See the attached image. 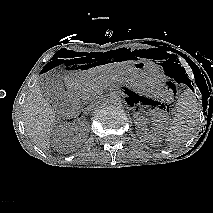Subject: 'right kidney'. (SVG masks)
<instances>
[{
  "instance_id": "right-kidney-1",
  "label": "right kidney",
  "mask_w": 213,
  "mask_h": 213,
  "mask_svg": "<svg viewBox=\"0 0 213 213\" xmlns=\"http://www.w3.org/2000/svg\"><path fill=\"white\" fill-rule=\"evenodd\" d=\"M75 128L78 131L80 140L84 141L85 138L87 137V133H88V131L86 129V123L81 122Z\"/></svg>"
}]
</instances>
